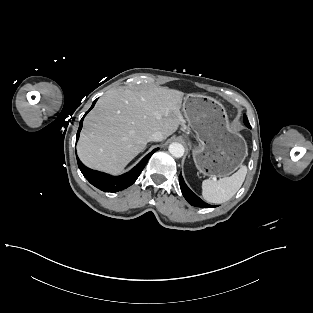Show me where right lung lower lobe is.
I'll list each match as a JSON object with an SVG mask.
<instances>
[{
  "instance_id": "right-lung-lower-lobe-1",
  "label": "right lung lower lobe",
  "mask_w": 313,
  "mask_h": 313,
  "mask_svg": "<svg viewBox=\"0 0 313 313\" xmlns=\"http://www.w3.org/2000/svg\"><path fill=\"white\" fill-rule=\"evenodd\" d=\"M97 99L93 102L91 108L85 113V115L94 107ZM83 118L80 121L79 129L76 136V142L79 139L80 131L82 128ZM159 148L152 150L147 154L132 170L129 172L120 175V176H111L106 173L95 171L86 167L77 157V162L79 169L81 170L84 177L95 187L104 191V192H118L129 186H131L136 179L139 177L140 173L144 169L147 161L152 156V154L157 151Z\"/></svg>"
}]
</instances>
